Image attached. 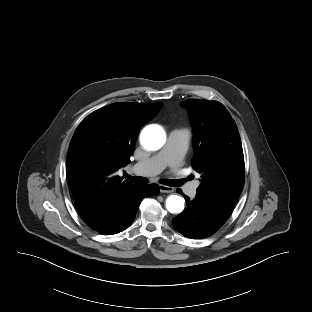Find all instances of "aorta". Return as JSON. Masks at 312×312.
Here are the masks:
<instances>
[{
	"label": "aorta",
	"instance_id": "1",
	"mask_svg": "<svg viewBox=\"0 0 312 312\" xmlns=\"http://www.w3.org/2000/svg\"><path fill=\"white\" fill-rule=\"evenodd\" d=\"M140 142L147 150H159L166 142V133L158 125H149L141 132ZM166 208L170 213H180L184 209V199L178 195H170L166 200Z\"/></svg>",
	"mask_w": 312,
	"mask_h": 312
}]
</instances>
